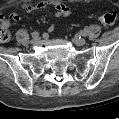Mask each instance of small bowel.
I'll return each mask as SVG.
<instances>
[{
    "label": "small bowel",
    "instance_id": "obj_1",
    "mask_svg": "<svg viewBox=\"0 0 119 119\" xmlns=\"http://www.w3.org/2000/svg\"><path fill=\"white\" fill-rule=\"evenodd\" d=\"M48 6H51L54 8L55 10V17L60 18V17H67L71 14V10L70 8L63 2L61 1H40V2H36V3H28L25 4L23 6V9L25 12L27 13H31L34 11H38V10H43L45 8H47ZM10 19L18 22L20 21V16L16 13H12L10 16ZM1 27H3L4 29H9L10 27V20L8 18H6L5 16L1 17ZM54 29V26L51 25L49 27V31L52 32Z\"/></svg>",
    "mask_w": 119,
    "mask_h": 119
}]
</instances>
